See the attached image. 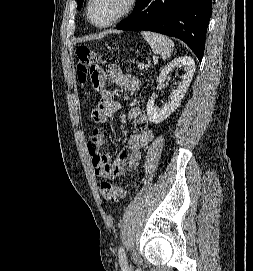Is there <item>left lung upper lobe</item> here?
I'll list each match as a JSON object with an SVG mask.
<instances>
[{"label":"left lung upper lobe","instance_id":"5c2ea615","mask_svg":"<svg viewBox=\"0 0 253 271\" xmlns=\"http://www.w3.org/2000/svg\"><path fill=\"white\" fill-rule=\"evenodd\" d=\"M77 3H78V9H80L82 6L83 0H77Z\"/></svg>","mask_w":253,"mask_h":271}]
</instances>
